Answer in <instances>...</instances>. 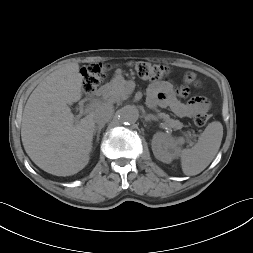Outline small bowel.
Segmentation results:
<instances>
[{
	"mask_svg": "<svg viewBox=\"0 0 253 253\" xmlns=\"http://www.w3.org/2000/svg\"><path fill=\"white\" fill-rule=\"evenodd\" d=\"M121 77L122 71L116 70L113 79L119 80ZM177 95L185 97L188 91L184 87L176 88L169 80L155 81L148 87L147 102L152 108L156 106L169 108L181 118H190L198 112L209 109L210 104L204 97L197 96L183 102L177 98Z\"/></svg>",
	"mask_w": 253,
	"mask_h": 253,
	"instance_id": "c3829d8e",
	"label": "small bowel"
}]
</instances>
